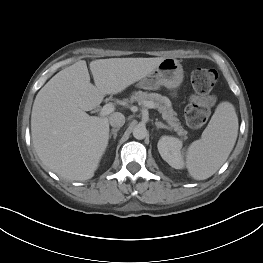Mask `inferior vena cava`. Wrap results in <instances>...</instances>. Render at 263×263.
<instances>
[{
    "label": "inferior vena cava",
    "instance_id": "inferior-vena-cava-1",
    "mask_svg": "<svg viewBox=\"0 0 263 263\" xmlns=\"http://www.w3.org/2000/svg\"><path fill=\"white\" fill-rule=\"evenodd\" d=\"M109 122L112 127L120 128L125 123V116L119 112L113 113L109 117Z\"/></svg>",
    "mask_w": 263,
    "mask_h": 263
}]
</instances>
